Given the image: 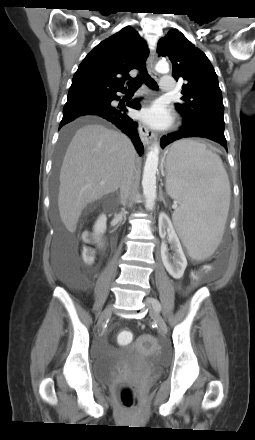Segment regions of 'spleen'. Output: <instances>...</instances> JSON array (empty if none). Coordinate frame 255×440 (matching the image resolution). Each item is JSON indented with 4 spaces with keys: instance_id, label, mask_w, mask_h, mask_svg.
<instances>
[{
    "instance_id": "3e777b00",
    "label": "spleen",
    "mask_w": 255,
    "mask_h": 440,
    "mask_svg": "<svg viewBox=\"0 0 255 440\" xmlns=\"http://www.w3.org/2000/svg\"><path fill=\"white\" fill-rule=\"evenodd\" d=\"M167 170L166 191L180 202L176 231L193 259H205L221 241L230 206L222 160L204 144L182 140L172 145Z\"/></svg>"
}]
</instances>
